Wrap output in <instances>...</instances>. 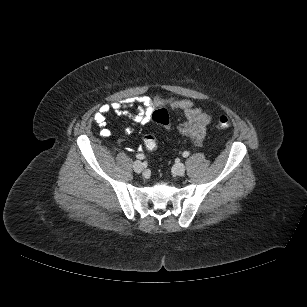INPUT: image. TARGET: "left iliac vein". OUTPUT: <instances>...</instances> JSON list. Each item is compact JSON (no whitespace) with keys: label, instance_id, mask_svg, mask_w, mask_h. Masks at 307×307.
<instances>
[{"label":"left iliac vein","instance_id":"1","mask_svg":"<svg viewBox=\"0 0 307 307\" xmlns=\"http://www.w3.org/2000/svg\"><path fill=\"white\" fill-rule=\"evenodd\" d=\"M185 165L183 163H178L174 166V173L176 175H183L185 173Z\"/></svg>","mask_w":307,"mask_h":307}]
</instances>
